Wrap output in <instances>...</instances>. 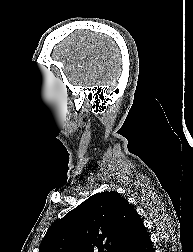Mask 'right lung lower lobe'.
Wrapping results in <instances>:
<instances>
[{
	"label": "right lung lower lobe",
	"mask_w": 193,
	"mask_h": 252,
	"mask_svg": "<svg viewBox=\"0 0 193 252\" xmlns=\"http://www.w3.org/2000/svg\"><path fill=\"white\" fill-rule=\"evenodd\" d=\"M126 252H155L146 229L140 232L136 242Z\"/></svg>",
	"instance_id": "98d812e1"
}]
</instances>
